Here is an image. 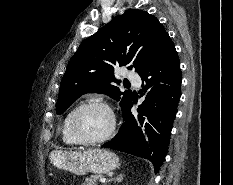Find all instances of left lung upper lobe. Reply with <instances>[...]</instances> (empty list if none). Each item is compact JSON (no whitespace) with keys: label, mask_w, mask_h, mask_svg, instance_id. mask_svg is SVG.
I'll list each match as a JSON object with an SVG mask.
<instances>
[{"label":"left lung upper lobe","mask_w":233,"mask_h":185,"mask_svg":"<svg viewBox=\"0 0 233 185\" xmlns=\"http://www.w3.org/2000/svg\"><path fill=\"white\" fill-rule=\"evenodd\" d=\"M168 36L159 20L146 11L129 9L114 17L83 41L71 58L61 81L57 114L87 92L105 93L121 100L124 114L132 102V93H123L114 85L120 83L114 68L126 66L141 73Z\"/></svg>","instance_id":"left-lung-upper-lobe-1"}]
</instances>
